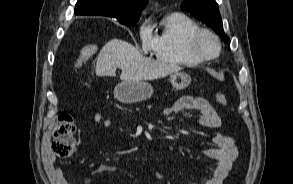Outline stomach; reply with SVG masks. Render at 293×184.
<instances>
[{"mask_svg": "<svg viewBox=\"0 0 293 184\" xmlns=\"http://www.w3.org/2000/svg\"><path fill=\"white\" fill-rule=\"evenodd\" d=\"M170 82L176 90H183L189 86L191 77L185 72H175L171 74ZM152 94V85L144 80L123 81L114 89L115 98L125 104L144 101L150 98Z\"/></svg>", "mask_w": 293, "mask_h": 184, "instance_id": "obj_1", "label": "stomach"}]
</instances>
